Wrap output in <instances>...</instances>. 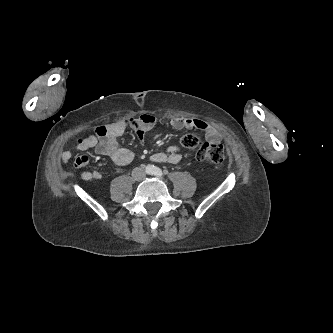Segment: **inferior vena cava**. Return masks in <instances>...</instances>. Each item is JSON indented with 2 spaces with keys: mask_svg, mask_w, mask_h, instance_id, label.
<instances>
[{
  "mask_svg": "<svg viewBox=\"0 0 333 333\" xmlns=\"http://www.w3.org/2000/svg\"><path fill=\"white\" fill-rule=\"evenodd\" d=\"M146 176V172L142 167H136L132 170V177L136 180H141Z\"/></svg>",
  "mask_w": 333,
  "mask_h": 333,
  "instance_id": "602c4592",
  "label": "inferior vena cava"
}]
</instances>
